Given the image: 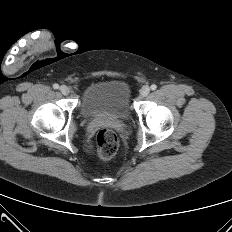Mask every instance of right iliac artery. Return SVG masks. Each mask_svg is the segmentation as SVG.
Masks as SVG:
<instances>
[{
    "mask_svg": "<svg viewBox=\"0 0 232 232\" xmlns=\"http://www.w3.org/2000/svg\"><path fill=\"white\" fill-rule=\"evenodd\" d=\"M53 88H54V89H58V88H59V85L55 83V84L53 85Z\"/></svg>",
    "mask_w": 232,
    "mask_h": 232,
    "instance_id": "obj_1",
    "label": "right iliac artery"
}]
</instances>
